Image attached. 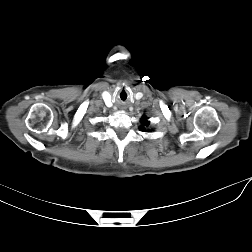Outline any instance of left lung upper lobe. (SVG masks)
<instances>
[{"label": "left lung upper lobe", "mask_w": 252, "mask_h": 252, "mask_svg": "<svg viewBox=\"0 0 252 252\" xmlns=\"http://www.w3.org/2000/svg\"><path fill=\"white\" fill-rule=\"evenodd\" d=\"M142 120H144V125H145V126H147V125L149 124V121H147L145 117H143ZM140 130H144V131H145V127H144V126H141V127H140Z\"/></svg>", "instance_id": "left-lung-upper-lobe-1"}]
</instances>
